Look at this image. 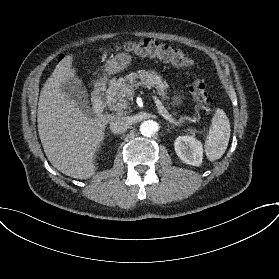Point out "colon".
<instances>
[{
  "instance_id": "obj_1",
  "label": "colon",
  "mask_w": 279,
  "mask_h": 279,
  "mask_svg": "<svg viewBox=\"0 0 279 279\" xmlns=\"http://www.w3.org/2000/svg\"><path fill=\"white\" fill-rule=\"evenodd\" d=\"M106 52H128L138 56L152 57L177 67H189L193 64V60L188 54L183 53L170 45L161 44L152 40L111 45L106 48ZM192 94L201 107H210L211 97L207 83L204 79L198 78L193 81Z\"/></svg>"
}]
</instances>
